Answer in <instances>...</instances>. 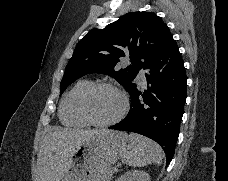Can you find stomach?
<instances>
[{
	"label": "stomach",
	"instance_id": "0dacf381",
	"mask_svg": "<svg viewBox=\"0 0 228 181\" xmlns=\"http://www.w3.org/2000/svg\"><path fill=\"white\" fill-rule=\"evenodd\" d=\"M129 137L121 131H96L76 149L62 181H109V169L120 159Z\"/></svg>",
	"mask_w": 228,
	"mask_h": 181
}]
</instances>
